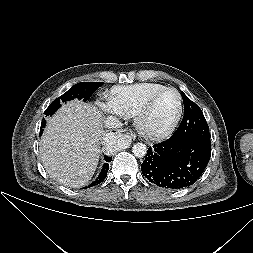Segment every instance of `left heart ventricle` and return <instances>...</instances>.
I'll list each match as a JSON object with an SVG mask.
<instances>
[{
  "label": "left heart ventricle",
  "instance_id": "1",
  "mask_svg": "<svg viewBox=\"0 0 253 253\" xmlns=\"http://www.w3.org/2000/svg\"><path fill=\"white\" fill-rule=\"evenodd\" d=\"M177 112V97L172 91L165 92L151 105L143 118V126L149 131H159L173 120Z\"/></svg>",
  "mask_w": 253,
  "mask_h": 253
}]
</instances>
